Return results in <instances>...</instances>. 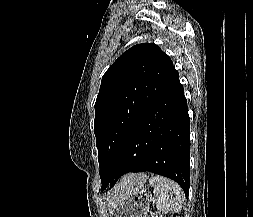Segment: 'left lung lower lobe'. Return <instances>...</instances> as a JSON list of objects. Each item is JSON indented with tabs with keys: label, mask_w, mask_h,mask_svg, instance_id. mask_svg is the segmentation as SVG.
Returning a JSON list of instances; mask_svg holds the SVG:
<instances>
[{
	"label": "left lung lower lobe",
	"mask_w": 253,
	"mask_h": 217,
	"mask_svg": "<svg viewBox=\"0 0 253 217\" xmlns=\"http://www.w3.org/2000/svg\"><path fill=\"white\" fill-rule=\"evenodd\" d=\"M190 121L179 79L130 126L119 146L113 172L102 190L128 172L149 171L176 181L188 197Z\"/></svg>",
	"instance_id": "obj_1"
}]
</instances>
